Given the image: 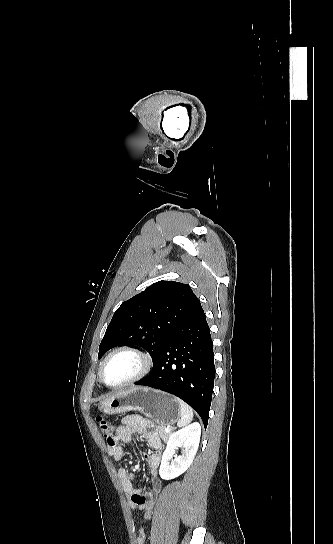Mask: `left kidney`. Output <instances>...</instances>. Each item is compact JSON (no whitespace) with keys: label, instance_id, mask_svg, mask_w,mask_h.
Masks as SVG:
<instances>
[{"label":"left kidney","instance_id":"1","mask_svg":"<svg viewBox=\"0 0 333 544\" xmlns=\"http://www.w3.org/2000/svg\"><path fill=\"white\" fill-rule=\"evenodd\" d=\"M201 435V426L195 422L174 433L167 442L162 455L159 474L162 479L170 480L180 476L192 464L198 450ZM182 448L181 455L174 456L175 449ZM174 456V459H172ZM170 460L171 464H170Z\"/></svg>","mask_w":333,"mask_h":544}]
</instances>
